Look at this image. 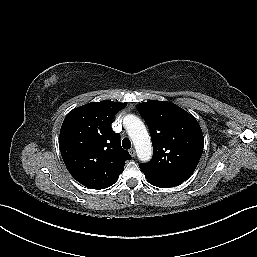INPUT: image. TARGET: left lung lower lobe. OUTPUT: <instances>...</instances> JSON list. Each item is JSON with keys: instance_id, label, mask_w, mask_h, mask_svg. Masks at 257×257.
Listing matches in <instances>:
<instances>
[{"instance_id": "obj_1", "label": "left lung lower lobe", "mask_w": 257, "mask_h": 257, "mask_svg": "<svg viewBox=\"0 0 257 257\" xmlns=\"http://www.w3.org/2000/svg\"><path fill=\"white\" fill-rule=\"evenodd\" d=\"M148 182L156 187L160 188H168V187H174L182 184L185 180L175 179V178H169V177H159V178H147Z\"/></svg>"}]
</instances>
